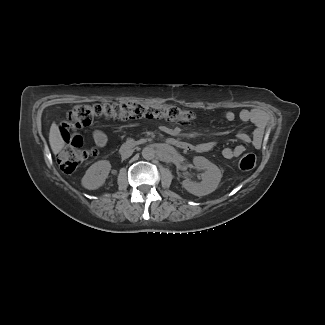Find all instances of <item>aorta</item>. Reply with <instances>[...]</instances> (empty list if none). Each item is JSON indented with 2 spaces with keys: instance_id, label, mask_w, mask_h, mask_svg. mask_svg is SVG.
Segmentation results:
<instances>
[{
  "instance_id": "obj_1",
  "label": "aorta",
  "mask_w": 325,
  "mask_h": 325,
  "mask_svg": "<svg viewBox=\"0 0 325 325\" xmlns=\"http://www.w3.org/2000/svg\"><path fill=\"white\" fill-rule=\"evenodd\" d=\"M156 151L153 147H145L142 150V156L146 160H152L155 158Z\"/></svg>"
}]
</instances>
